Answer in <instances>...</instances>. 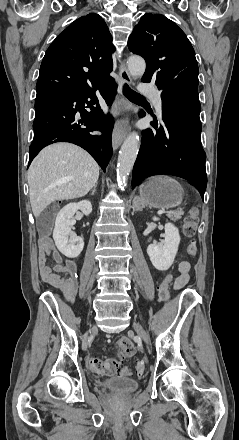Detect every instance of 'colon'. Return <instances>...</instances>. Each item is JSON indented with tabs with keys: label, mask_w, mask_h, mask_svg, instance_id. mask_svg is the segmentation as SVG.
I'll use <instances>...</instances> for the list:
<instances>
[{
	"label": "colon",
	"mask_w": 239,
	"mask_h": 440,
	"mask_svg": "<svg viewBox=\"0 0 239 440\" xmlns=\"http://www.w3.org/2000/svg\"><path fill=\"white\" fill-rule=\"evenodd\" d=\"M198 224V213L195 209H191L185 218L183 225V232L186 237L192 238L196 234ZM197 252V245L195 241H191L187 246V253L189 256H195ZM172 281V277L168 276L161 283L159 288V297L163 301H168L170 298L169 287ZM117 347L124 356H130L133 353V345L127 338H120L117 341ZM89 368L92 372L99 375H113L116 373L127 374L129 370L122 366L118 359H98L91 358L89 360ZM145 369L144 362L142 360L136 363V373L142 374Z\"/></svg>",
	"instance_id": "obj_1"
}]
</instances>
